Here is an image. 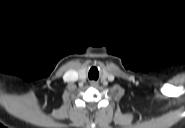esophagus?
<instances>
[{
  "label": "esophagus",
  "mask_w": 185,
  "mask_h": 128,
  "mask_svg": "<svg viewBox=\"0 0 185 128\" xmlns=\"http://www.w3.org/2000/svg\"><path fill=\"white\" fill-rule=\"evenodd\" d=\"M90 84H91L92 87H96L97 86V82L96 81H91Z\"/></svg>",
  "instance_id": "esophagus-1"
}]
</instances>
